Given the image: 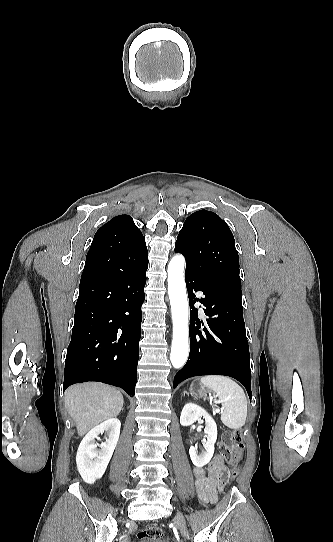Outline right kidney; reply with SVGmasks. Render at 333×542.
Wrapping results in <instances>:
<instances>
[{
  "instance_id": "right-kidney-1",
  "label": "right kidney",
  "mask_w": 333,
  "mask_h": 542,
  "mask_svg": "<svg viewBox=\"0 0 333 542\" xmlns=\"http://www.w3.org/2000/svg\"><path fill=\"white\" fill-rule=\"evenodd\" d=\"M120 422L110 418L99 426L92 428L83 438L77 452V470L86 484H94L102 478L117 446L120 434ZM107 432L106 442L96 444L99 434ZM100 448V450H98Z\"/></svg>"
}]
</instances>
